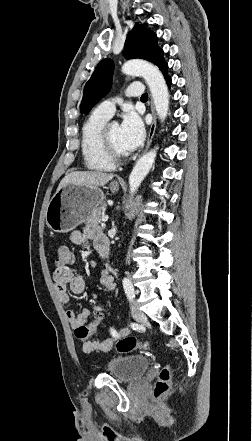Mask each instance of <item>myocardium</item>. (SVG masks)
<instances>
[{"instance_id": "myocardium-1", "label": "myocardium", "mask_w": 252, "mask_h": 441, "mask_svg": "<svg viewBox=\"0 0 252 441\" xmlns=\"http://www.w3.org/2000/svg\"><path fill=\"white\" fill-rule=\"evenodd\" d=\"M111 125L112 124L107 123L102 130L101 139H100L101 149L107 160H109L114 164H119L125 159L126 155L125 153H119L112 146L109 137V128Z\"/></svg>"}]
</instances>
